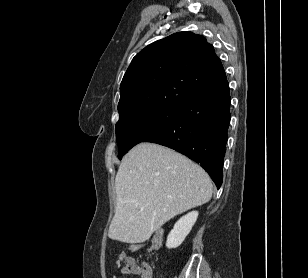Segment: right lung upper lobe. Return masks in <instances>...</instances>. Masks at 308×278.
Wrapping results in <instances>:
<instances>
[{"mask_svg":"<svg viewBox=\"0 0 308 278\" xmlns=\"http://www.w3.org/2000/svg\"><path fill=\"white\" fill-rule=\"evenodd\" d=\"M227 83L214 48L192 32L158 40L132 60L120 85L119 120L152 108H179Z\"/></svg>","mask_w":308,"mask_h":278,"instance_id":"cb5924a9","label":"right lung upper lobe"}]
</instances>
